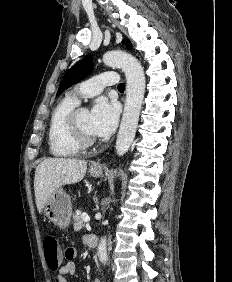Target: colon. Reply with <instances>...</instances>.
I'll return each mask as SVG.
<instances>
[{
  "label": "colon",
  "mask_w": 232,
  "mask_h": 282,
  "mask_svg": "<svg viewBox=\"0 0 232 282\" xmlns=\"http://www.w3.org/2000/svg\"><path fill=\"white\" fill-rule=\"evenodd\" d=\"M43 249L47 266L50 270L55 271L61 265L66 250L62 253L58 240L52 235H46L43 238Z\"/></svg>",
  "instance_id": "colon-1"
}]
</instances>
